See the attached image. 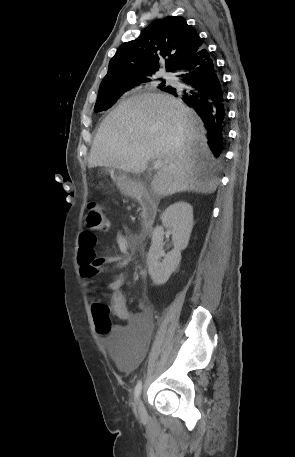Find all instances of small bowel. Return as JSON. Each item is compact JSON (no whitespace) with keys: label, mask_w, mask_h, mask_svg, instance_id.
Wrapping results in <instances>:
<instances>
[{"label":"small bowel","mask_w":295,"mask_h":457,"mask_svg":"<svg viewBox=\"0 0 295 457\" xmlns=\"http://www.w3.org/2000/svg\"><path fill=\"white\" fill-rule=\"evenodd\" d=\"M115 239L120 255L98 257L95 252L96 234L91 230H83L79 236V264L81 265V261H87L94 265L97 270L122 269L126 267L140 246L142 239L124 225L115 233ZM124 282L125 277L120 273L114 281L106 284V287L112 292V311L115 316L124 322L123 325L113 327L107 338H130L137 332L146 335L150 332L153 324V311L149 304L142 303L138 313H131L128 310L121 290Z\"/></svg>","instance_id":"1"}]
</instances>
